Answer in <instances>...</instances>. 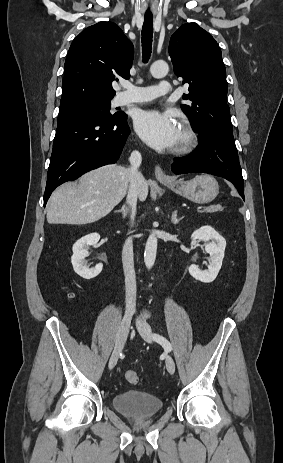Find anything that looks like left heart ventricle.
I'll return each mask as SVG.
<instances>
[{
	"mask_svg": "<svg viewBox=\"0 0 283 463\" xmlns=\"http://www.w3.org/2000/svg\"><path fill=\"white\" fill-rule=\"evenodd\" d=\"M180 138H181V134H180V131H179V128H178L177 142H179Z\"/></svg>",
	"mask_w": 283,
	"mask_h": 463,
	"instance_id": "1",
	"label": "left heart ventricle"
}]
</instances>
